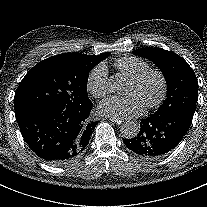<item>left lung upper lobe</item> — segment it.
Segmentation results:
<instances>
[{
    "label": "left lung upper lobe",
    "mask_w": 207,
    "mask_h": 207,
    "mask_svg": "<svg viewBox=\"0 0 207 207\" xmlns=\"http://www.w3.org/2000/svg\"><path fill=\"white\" fill-rule=\"evenodd\" d=\"M132 53L148 58L164 74L167 98L154 114L175 113L192 121L198 100V81L189 64L178 54L160 48H142Z\"/></svg>",
    "instance_id": "left-lung-upper-lobe-1"
}]
</instances>
